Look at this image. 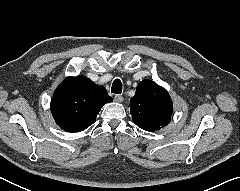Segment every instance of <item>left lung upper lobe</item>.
<instances>
[{"mask_svg":"<svg viewBox=\"0 0 240 191\" xmlns=\"http://www.w3.org/2000/svg\"><path fill=\"white\" fill-rule=\"evenodd\" d=\"M130 112L138 127L155 131L169 124L173 104L165 88L145 79L138 84L130 100Z\"/></svg>","mask_w":240,"mask_h":191,"instance_id":"1","label":"left lung upper lobe"}]
</instances>
